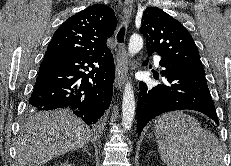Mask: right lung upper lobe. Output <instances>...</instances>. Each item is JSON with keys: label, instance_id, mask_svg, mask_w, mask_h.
<instances>
[{"label": "right lung upper lobe", "instance_id": "right-lung-upper-lobe-1", "mask_svg": "<svg viewBox=\"0 0 231 166\" xmlns=\"http://www.w3.org/2000/svg\"><path fill=\"white\" fill-rule=\"evenodd\" d=\"M114 11L103 4L90 6L68 18L55 31L47 52L73 56L102 55L116 29Z\"/></svg>", "mask_w": 231, "mask_h": 166}]
</instances>
